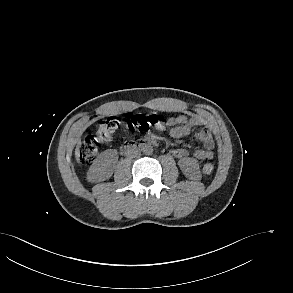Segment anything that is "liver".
I'll return each mask as SVG.
<instances>
[{"instance_id": "obj_1", "label": "liver", "mask_w": 293, "mask_h": 293, "mask_svg": "<svg viewBox=\"0 0 293 293\" xmlns=\"http://www.w3.org/2000/svg\"><path fill=\"white\" fill-rule=\"evenodd\" d=\"M80 147H81V142L79 141L75 149V158L77 162L80 161Z\"/></svg>"}]
</instances>
